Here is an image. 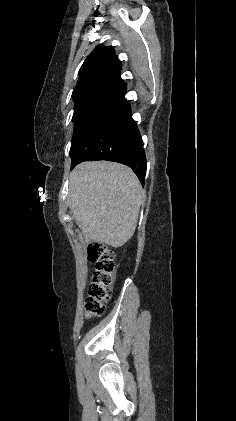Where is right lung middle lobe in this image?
Returning <instances> with one entry per match:
<instances>
[{"label":"right lung middle lobe","mask_w":236,"mask_h":421,"mask_svg":"<svg viewBox=\"0 0 236 421\" xmlns=\"http://www.w3.org/2000/svg\"><path fill=\"white\" fill-rule=\"evenodd\" d=\"M124 86L92 89L74 96V133L71 158L82 142L126 99Z\"/></svg>","instance_id":"dd1d6c3e"}]
</instances>
